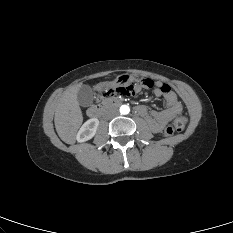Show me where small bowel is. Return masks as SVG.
Masks as SVG:
<instances>
[{
  "instance_id": "c3829d8e",
  "label": "small bowel",
  "mask_w": 233,
  "mask_h": 233,
  "mask_svg": "<svg viewBox=\"0 0 233 233\" xmlns=\"http://www.w3.org/2000/svg\"><path fill=\"white\" fill-rule=\"evenodd\" d=\"M141 86H135L136 92L141 89ZM164 86L168 89L163 90ZM154 94L157 97L163 98L166 104V108L164 110L149 112L146 106L140 105L136 108V111L139 115L145 118L151 130L158 133L163 130L168 121H170L175 115L180 114L183 108L177 95L171 90L170 86L165 83L156 82L154 85Z\"/></svg>"
}]
</instances>
